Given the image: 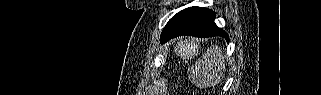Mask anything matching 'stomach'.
<instances>
[{"label": "stomach", "mask_w": 321, "mask_h": 95, "mask_svg": "<svg viewBox=\"0 0 321 95\" xmlns=\"http://www.w3.org/2000/svg\"><path fill=\"white\" fill-rule=\"evenodd\" d=\"M176 52L181 56L190 57L198 52V46L192 41H182L176 47Z\"/></svg>", "instance_id": "stomach-1"}]
</instances>
